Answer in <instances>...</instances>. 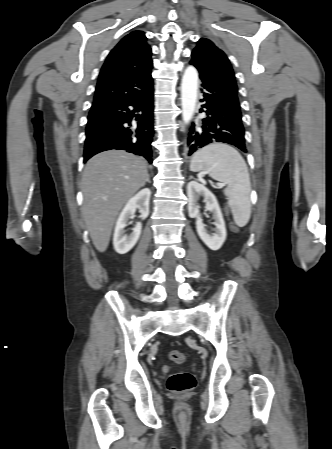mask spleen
<instances>
[{
    "mask_svg": "<svg viewBox=\"0 0 332 449\" xmlns=\"http://www.w3.org/2000/svg\"><path fill=\"white\" fill-rule=\"evenodd\" d=\"M190 170L206 171L211 178L226 184L224 194L234 222L239 227L249 222L251 183L247 165L237 150L226 144H210L193 155Z\"/></svg>",
    "mask_w": 332,
    "mask_h": 449,
    "instance_id": "spleen-1",
    "label": "spleen"
}]
</instances>
